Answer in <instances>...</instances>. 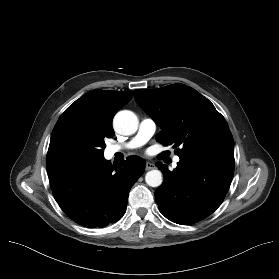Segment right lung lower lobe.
Wrapping results in <instances>:
<instances>
[{
	"label": "right lung lower lobe",
	"instance_id": "obj_1",
	"mask_svg": "<svg viewBox=\"0 0 279 279\" xmlns=\"http://www.w3.org/2000/svg\"><path fill=\"white\" fill-rule=\"evenodd\" d=\"M146 163L129 156L116 165L105 158L48 171L54 197L76 223L105 227L126 212L129 191L144 173Z\"/></svg>",
	"mask_w": 279,
	"mask_h": 279
}]
</instances>
